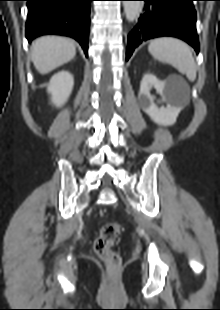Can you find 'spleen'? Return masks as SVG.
I'll list each match as a JSON object with an SVG mask.
<instances>
[{
  "label": "spleen",
  "instance_id": "obj_1",
  "mask_svg": "<svg viewBox=\"0 0 220 310\" xmlns=\"http://www.w3.org/2000/svg\"><path fill=\"white\" fill-rule=\"evenodd\" d=\"M148 50L158 61L173 65L191 82L195 81V61L190 47L183 41L171 37L154 39L150 42Z\"/></svg>",
  "mask_w": 220,
  "mask_h": 310
}]
</instances>
